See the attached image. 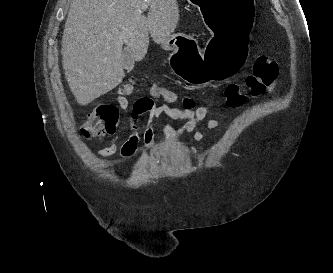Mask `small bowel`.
<instances>
[{"mask_svg": "<svg viewBox=\"0 0 333 273\" xmlns=\"http://www.w3.org/2000/svg\"><path fill=\"white\" fill-rule=\"evenodd\" d=\"M280 81L281 76L275 70L274 78L267 86V93L269 95H273L275 93ZM116 100L122 110H127L129 108V103L124 96L119 95ZM226 106L229 107V105ZM211 113V108L206 106L198 107L196 109H185V107L177 108L170 106L169 104L154 106L152 96H140L139 100L132 105V119L130 123L132 133L122 144L119 155L122 158H130L136 152L140 142H142L144 149L148 151L151 148L155 137L154 125L157 121L165 131L169 142H173L190 133H193L194 142L200 143L204 137V130H218L221 127L219 120L207 119ZM142 115H146L147 119L144 124L143 134L140 136V125L138 120ZM164 118H169L174 121H182L184 124L180 129L175 131L166 121H164ZM111 134L112 139L110 143L97 151L98 157L107 158L117 152L119 137L114 132H111Z\"/></svg>", "mask_w": 333, "mask_h": 273, "instance_id": "small-bowel-1", "label": "small bowel"}]
</instances>
